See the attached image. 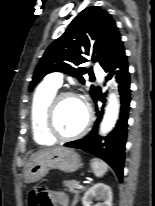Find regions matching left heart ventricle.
<instances>
[{"mask_svg":"<svg viewBox=\"0 0 155 206\" xmlns=\"http://www.w3.org/2000/svg\"><path fill=\"white\" fill-rule=\"evenodd\" d=\"M86 112L82 102L76 98L60 101L55 115V125L62 135L78 132L84 125Z\"/></svg>","mask_w":155,"mask_h":206,"instance_id":"left-heart-ventricle-1","label":"left heart ventricle"}]
</instances>
